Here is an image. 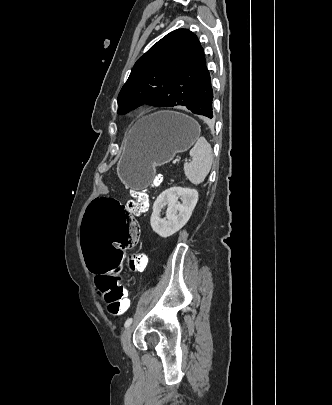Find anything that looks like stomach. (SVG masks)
<instances>
[{"label": "stomach", "instance_id": "stomach-1", "mask_svg": "<svg viewBox=\"0 0 332 405\" xmlns=\"http://www.w3.org/2000/svg\"><path fill=\"white\" fill-rule=\"evenodd\" d=\"M199 137V124L186 114L160 111L142 117L130 131L117 175L126 187L144 189L151 183L156 166L190 149Z\"/></svg>", "mask_w": 332, "mask_h": 405}]
</instances>
